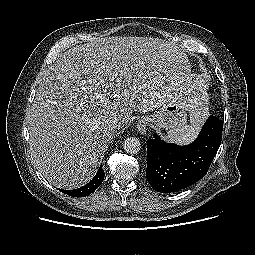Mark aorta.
<instances>
[{
    "label": "aorta",
    "mask_w": 255,
    "mask_h": 255,
    "mask_svg": "<svg viewBox=\"0 0 255 255\" xmlns=\"http://www.w3.org/2000/svg\"><path fill=\"white\" fill-rule=\"evenodd\" d=\"M123 148L128 154H137L141 148V144L137 138L128 137L124 140Z\"/></svg>",
    "instance_id": "1"
}]
</instances>
